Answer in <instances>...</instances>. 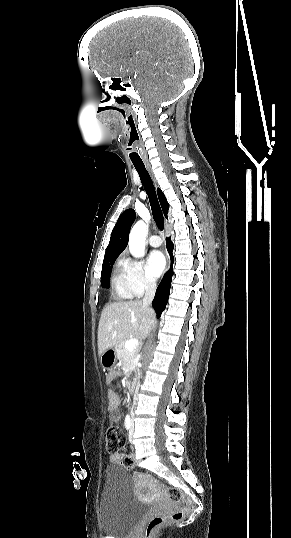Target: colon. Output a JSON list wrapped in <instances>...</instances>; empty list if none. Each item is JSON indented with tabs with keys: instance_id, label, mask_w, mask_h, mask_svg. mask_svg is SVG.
<instances>
[{
	"instance_id": "1",
	"label": "colon",
	"mask_w": 291,
	"mask_h": 538,
	"mask_svg": "<svg viewBox=\"0 0 291 538\" xmlns=\"http://www.w3.org/2000/svg\"><path fill=\"white\" fill-rule=\"evenodd\" d=\"M125 445V436L121 429L117 426H110L106 431V450L109 454H117ZM122 465L127 470H132L134 467L133 460L125 457L122 460ZM170 496L180 504L179 508L172 513L165 515H154L148 519L143 528V537L152 538L158 529L167 521H178L184 518L190 512V501L176 489L170 490Z\"/></svg>"
}]
</instances>
